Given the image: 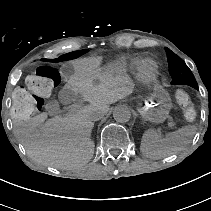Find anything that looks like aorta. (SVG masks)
Returning a JSON list of instances; mask_svg holds the SVG:
<instances>
[{
    "label": "aorta",
    "mask_w": 211,
    "mask_h": 211,
    "mask_svg": "<svg viewBox=\"0 0 211 211\" xmlns=\"http://www.w3.org/2000/svg\"><path fill=\"white\" fill-rule=\"evenodd\" d=\"M113 117L119 123H126L131 118V111L126 105H118L113 110Z\"/></svg>",
    "instance_id": "obj_1"
}]
</instances>
